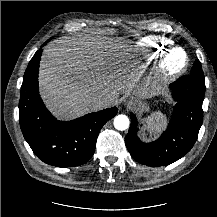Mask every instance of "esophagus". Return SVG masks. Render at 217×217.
Here are the masks:
<instances>
[{
	"label": "esophagus",
	"mask_w": 217,
	"mask_h": 217,
	"mask_svg": "<svg viewBox=\"0 0 217 217\" xmlns=\"http://www.w3.org/2000/svg\"><path fill=\"white\" fill-rule=\"evenodd\" d=\"M134 105H135V101H134L133 98H129V99L126 101V104H125V106H126L127 108H130V107H132V106H134Z\"/></svg>",
	"instance_id": "esophagus-1"
}]
</instances>
